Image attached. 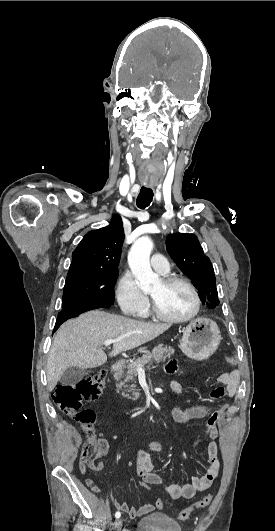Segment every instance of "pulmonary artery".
I'll return each mask as SVG.
<instances>
[{
  "label": "pulmonary artery",
  "instance_id": "1",
  "mask_svg": "<svg viewBox=\"0 0 275 531\" xmlns=\"http://www.w3.org/2000/svg\"><path fill=\"white\" fill-rule=\"evenodd\" d=\"M150 261L154 265V273L158 276H165L169 272L168 266H166V258L164 254H154L151 256Z\"/></svg>",
  "mask_w": 275,
  "mask_h": 531
}]
</instances>
